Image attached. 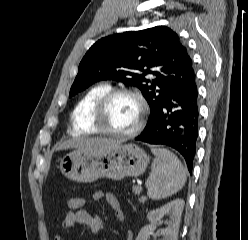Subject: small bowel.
Listing matches in <instances>:
<instances>
[{"label":"small bowel","instance_id":"small-bowel-1","mask_svg":"<svg viewBox=\"0 0 248 240\" xmlns=\"http://www.w3.org/2000/svg\"><path fill=\"white\" fill-rule=\"evenodd\" d=\"M93 199L95 201L99 200H106V202L114 209L115 216L118 221L124 222L125 221V214L120 207V204L116 198V196L111 192H103V191H96L93 194ZM77 223L82 224L88 228V230L93 233L97 234L102 231L103 223L101 219L87 210L81 209L76 212H68L64 218L62 227L64 230H69L74 227ZM126 240H133L132 231L128 228L125 230ZM54 240H63L60 235L54 237Z\"/></svg>","mask_w":248,"mask_h":240}]
</instances>
